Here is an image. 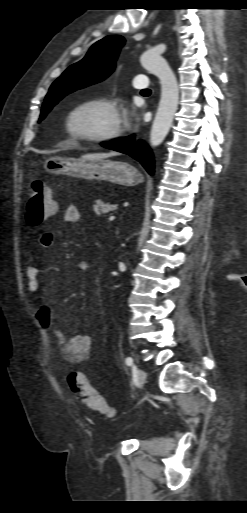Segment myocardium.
I'll return each instance as SVG.
<instances>
[{"mask_svg":"<svg viewBox=\"0 0 247 513\" xmlns=\"http://www.w3.org/2000/svg\"><path fill=\"white\" fill-rule=\"evenodd\" d=\"M91 107H101L109 110L114 117L113 126L101 133H87L76 130L73 125L74 117L81 110ZM62 122L64 130L70 138L93 143H103L113 140L120 136L123 131L117 104L113 100L104 97H89L76 102L65 111Z\"/></svg>","mask_w":247,"mask_h":513,"instance_id":"1","label":"myocardium"}]
</instances>
